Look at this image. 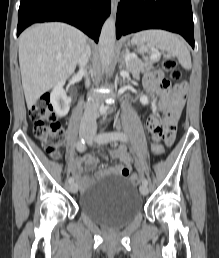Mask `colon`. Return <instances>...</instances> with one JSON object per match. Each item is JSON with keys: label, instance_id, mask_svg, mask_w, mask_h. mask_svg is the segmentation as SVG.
Listing matches in <instances>:
<instances>
[{"label": "colon", "instance_id": "obj_1", "mask_svg": "<svg viewBox=\"0 0 219 258\" xmlns=\"http://www.w3.org/2000/svg\"><path fill=\"white\" fill-rule=\"evenodd\" d=\"M162 67L172 79L179 80L181 78V72L174 58H164ZM29 116L33 121L34 135L41 142L43 149L52 157H58L64 142V132L48 95L41 96L31 106ZM152 151L156 157H162L165 153L163 145L158 142L152 145ZM130 181L137 184L140 176L133 174Z\"/></svg>", "mask_w": 219, "mask_h": 258}]
</instances>
